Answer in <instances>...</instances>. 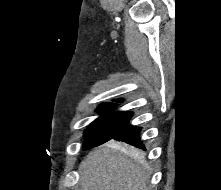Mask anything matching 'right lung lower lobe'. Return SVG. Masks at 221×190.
<instances>
[{
    "mask_svg": "<svg viewBox=\"0 0 221 190\" xmlns=\"http://www.w3.org/2000/svg\"><path fill=\"white\" fill-rule=\"evenodd\" d=\"M140 131H141V127H136L129 123L117 135H115L113 139L120 141V142H126L137 148H141L145 150L143 142L141 141L140 136H139Z\"/></svg>",
    "mask_w": 221,
    "mask_h": 190,
    "instance_id": "98d812e1",
    "label": "right lung lower lobe"
}]
</instances>
